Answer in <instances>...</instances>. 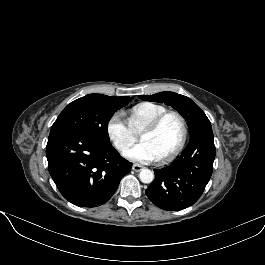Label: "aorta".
<instances>
[{
  "label": "aorta",
  "instance_id": "aorta-1",
  "mask_svg": "<svg viewBox=\"0 0 265 265\" xmlns=\"http://www.w3.org/2000/svg\"><path fill=\"white\" fill-rule=\"evenodd\" d=\"M139 178L143 183H151L154 180V173L149 169H142L139 173Z\"/></svg>",
  "mask_w": 265,
  "mask_h": 265
}]
</instances>
